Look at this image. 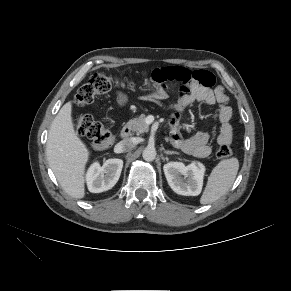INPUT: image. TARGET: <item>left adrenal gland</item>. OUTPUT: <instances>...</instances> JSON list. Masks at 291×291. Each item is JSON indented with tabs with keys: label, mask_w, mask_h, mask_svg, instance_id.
Wrapping results in <instances>:
<instances>
[{
	"label": "left adrenal gland",
	"mask_w": 291,
	"mask_h": 291,
	"mask_svg": "<svg viewBox=\"0 0 291 291\" xmlns=\"http://www.w3.org/2000/svg\"><path fill=\"white\" fill-rule=\"evenodd\" d=\"M164 153H165V154H178V153L175 152V151H169V150H164Z\"/></svg>",
	"instance_id": "1"
}]
</instances>
